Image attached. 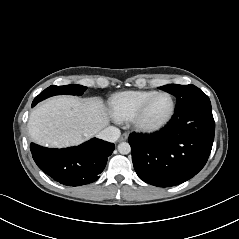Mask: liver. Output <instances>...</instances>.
Returning <instances> with one entry per match:
<instances>
[{"label":"liver","mask_w":239,"mask_h":239,"mask_svg":"<svg viewBox=\"0 0 239 239\" xmlns=\"http://www.w3.org/2000/svg\"><path fill=\"white\" fill-rule=\"evenodd\" d=\"M109 121L107 109L99 97L57 96L31 112L28 129L34 142L63 147L97 135L108 127Z\"/></svg>","instance_id":"6515ba94"}]
</instances>
